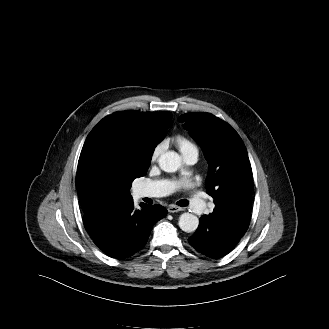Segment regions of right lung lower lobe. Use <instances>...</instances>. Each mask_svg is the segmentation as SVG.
Wrapping results in <instances>:
<instances>
[{
    "mask_svg": "<svg viewBox=\"0 0 329 329\" xmlns=\"http://www.w3.org/2000/svg\"><path fill=\"white\" fill-rule=\"evenodd\" d=\"M133 199L101 202L84 212L83 222L94 243L112 258H123L142 249L153 225L167 215L161 205L141 204Z\"/></svg>",
    "mask_w": 329,
    "mask_h": 329,
    "instance_id": "1",
    "label": "right lung lower lobe"
}]
</instances>
